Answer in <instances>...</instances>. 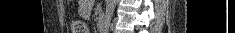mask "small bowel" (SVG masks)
Wrapping results in <instances>:
<instances>
[{
  "label": "small bowel",
  "instance_id": "small-bowel-1",
  "mask_svg": "<svg viewBox=\"0 0 235 33\" xmlns=\"http://www.w3.org/2000/svg\"><path fill=\"white\" fill-rule=\"evenodd\" d=\"M84 9H85V10L87 9V5H86V4L83 5V6H81V10L84 11Z\"/></svg>",
  "mask_w": 235,
  "mask_h": 33
}]
</instances>
